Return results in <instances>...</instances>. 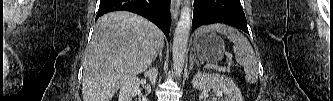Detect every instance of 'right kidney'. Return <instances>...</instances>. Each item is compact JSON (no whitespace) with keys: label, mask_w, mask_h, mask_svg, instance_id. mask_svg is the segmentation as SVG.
<instances>
[{"label":"right kidney","mask_w":333,"mask_h":101,"mask_svg":"<svg viewBox=\"0 0 333 101\" xmlns=\"http://www.w3.org/2000/svg\"><path fill=\"white\" fill-rule=\"evenodd\" d=\"M145 77H148L151 84H155L156 78L158 76V69L153 67L144 73ZM140 81L137 77H131L124 81L119 91V101H132V97L135 95H140L141 91L139 89ZM144 101L146 99H143Z\"/></svg>","instance_id":"right-kidney-1"}]
</instances>
